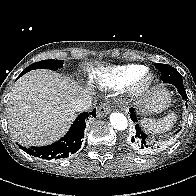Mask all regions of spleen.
<instances>
[{
    "label": "spleen",
    "mask_w": 196,
    "mask_h": 196,
    "mask_svg": "<svg viewBox=\"0 0 196 196\" xmlns=\"http://www.w3.org/2000/svg\"><path fill=\"white\" fill-rule=\"evenodd\" d=\"M176 121L177 115L175 113H170L160 119L144 118L140 121V124L148 133L161 134L170 130Z\"/></svg>",
    "instance_id": "3e777b00"
}]
</instances>
